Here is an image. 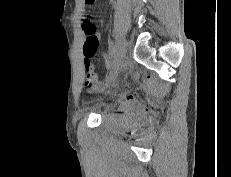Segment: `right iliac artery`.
Returning <instances> with one entry per match:
<instances>
[{"mask_svg":"<svg viewBox=\"0 0 231 177\" xmlns=\"http://www.w3.org/2000/svg\"><path fill=\"white\" fill-rule=\"evenodd\" d=\"M115 57V46L112 41H109V58L108 65L111 63V59Z\"/></svg>","mask_w":231,"mask_h":177,"instance_id":"82829eb1","label":"right iliac artery"}]
</instances>
